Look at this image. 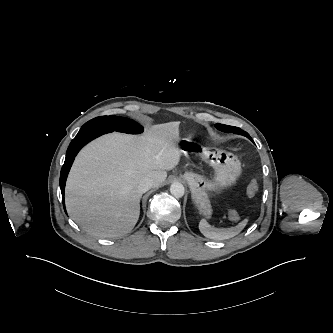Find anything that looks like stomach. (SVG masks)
<instances>
[{
  "label": "stomach",
  "instance_id": "obj_1",
  "mask_svg": "<svg viewBox=\"0 0 333 333\" xmlns=\"http://www.w3.org/2000/svg\"><path fill=\"white\" fill-rule=\"evenodd\" d=\"M187 146L191 147L196 155L213 167L215 172L212 179L192 171H186L182 174V178L190 187L196 207L206 218H210L212 208L209 194L234 184L241 173V163L233 153L228 151L204 149L200 146L192 147L191 142H187Z\"/></svg>",
  "mask_w": 333,
  "mask_h": 333
}]
</instances>
